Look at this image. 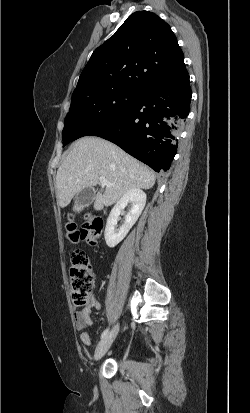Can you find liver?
<instances>
[{
  "label": "liver",
  "mask_w": 250,
  "mask_h": 413,
  "mask_svg": "<svg viewBox=\"0 0 250 413\" xmlns=\"http://www.w3.org/2000/svg\"><path fill=\"white\" fill-rule=\"evenodd\" d=\"M105 177L114 186L94 198V209L101 210L117 202L131 189H150L155 174L147 166L115 144L99 137H83L71 146L56 175L57 199L66 207L85 188L96 186Z\"/></svg>",
  "instance_id": "6515ba94"
}]
</instances>
